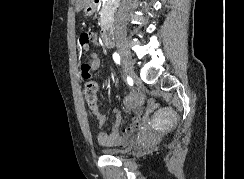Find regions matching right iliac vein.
<instances>
[{"label":"right iliac vein","instance_id":"obj_1","mask_svg":"<svg viewBox=\"0 0 244 179\" xmlns=\"http://www.w3.org/2000/svg\"><path fill=\"white\" fill-rule=\"evenodd\" d=\"M117 49L121 57V61L125 72L129 76L133 77L134 76L133 63L129 51L122 44L118 45Z\"/></svg>","mask_w":244,"mask_h":179}]
</instances>
